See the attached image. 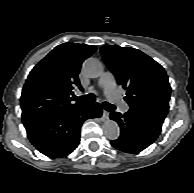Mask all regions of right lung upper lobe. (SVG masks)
Listing matches in <instances>:
<instances>
[{
  "mask_svg": "<svg viewBox=\"0 0 194 193\" xmlns=\"http://www.w3.org/2000/svg\"><path fill=\"white\" fill-rule=\"evenodd\" d=\"M96 51L86 44L55 47L30 72L21 95L23 123L51 117L75 108L73 87L82 89L78 74L82 62Z\"/></svg>",
  "mask_w": 194,
  "mask_h": 193,
  "instance_id": "right-lung-upper-lobe-1",
  "label": "right lung upper lobe"
}]
</instances>
